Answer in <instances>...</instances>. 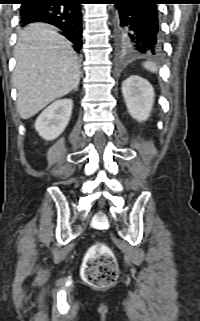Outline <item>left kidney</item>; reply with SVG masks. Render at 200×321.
I'll use <instances>...</instances> for the list:
<instances>
[{"label": "left kidney", "instance_id": "left-kidney-1", "mask_svg": "<svg viewBox=\"0 0 200 321\" xmlns=\"http://www.w3.org/2000/svg\"><path fill=\"white\" fill-rule=\"evenodd\" d=\"M121 89L131 117L139 122L146 121L154 103L152 85L146 79L132 75L122 83Z\"/></svg>", "mask_w": 200, "mask_h": 321}]
</instances>
